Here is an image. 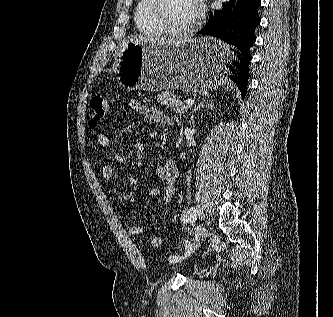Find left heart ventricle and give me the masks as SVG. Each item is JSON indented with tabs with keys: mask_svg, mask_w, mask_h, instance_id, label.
<instances>
[{
	"mask_svg": "<svg viewBox=\"0 0 333 317\" xmlns=\"http://www.w3.org/2000/svg\"><path fill=\"white\" fill-rule=\"evenodd\" d=\"M198 10L197 0H164V17L178 28L191 25L198 15Z\"/></svg>",
	"mask_w": 333,
	"mask_h": 317,
	"instance_id": "obj_1",
	"label": "left heart ventricle"
}]
</instances>
